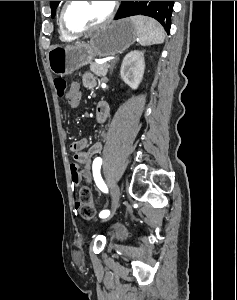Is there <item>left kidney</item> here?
<instances>
[{"label": "left kidney", "instance_id": "obj_1", "mask_svg": "<svg viewBox=\"0 0 237 300\" xmlns=\"http://www.w3.org/2000/svg\"><path fill=\"white\" fill-rule=\"evenodd\" d=\"M145 63L143 51H131L123 59L120 69L121 79L131 89H138L144 75Z\"/></svg>", "mask_w": 237, "mask_h": 300}]
</instances>
